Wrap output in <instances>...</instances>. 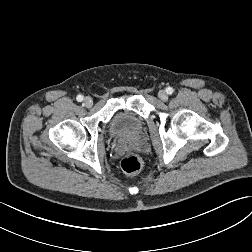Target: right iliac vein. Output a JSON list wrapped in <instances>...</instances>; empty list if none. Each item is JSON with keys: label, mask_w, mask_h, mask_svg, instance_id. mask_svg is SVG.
<instances>
[{"label": "right iliac vein", "mask_w": 252, "mask_h": 252, "mask_svg": "<svg viewBox=\"0 0 252 252\" xmlns=\"http://www.w3.org/2000/svg\"><path fill=\"white\" fill-rule=\"evenodd\" d=\"M83 103L86 107H91L93 105V100L91 97H85Z\"/></svg>", "instance_id": "63e3f726"}]
</instances>
